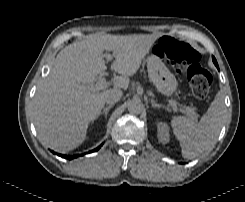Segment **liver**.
Returning a JSON list of instances; mask_svg holds the SVG:
<instances>
[{
    "label": "liver",
    "instance_id": "liver-1",
    "mask_svg": "<svg viewBox=\"0 0 245 202\" xmlns=\"http://www.w3.org/2000/svg\"><path fill=\"white\" fill-rule=\"evenodd\" d=\"M154 35L91 34L63 48L54 66L37 88L33 117L40 141L57 152L77 148L85 140L88 126L100 114L108 91L126 90L150 51ZM114 51L112 68L120 77L114 87L102 92L88 88L106 69L103 52Z\"/></svg>",
    "mask_w": 245,
    "mask_h": 202
}]
</instances>
